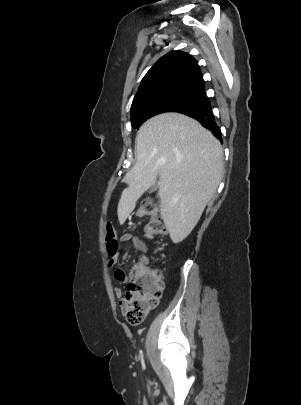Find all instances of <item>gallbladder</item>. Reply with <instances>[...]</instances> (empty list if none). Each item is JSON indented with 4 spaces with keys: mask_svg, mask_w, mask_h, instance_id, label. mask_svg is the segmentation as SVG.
Returning a JSON list of instances; mask_svg holds the SVG:
<instances>
[{
    "mask_svg": "<svg viewBox=\"0 0 301 405\" xmlns=\"http://www.w3.org/2000/svg\"><path fill=\"white\" fill-rule=\"evenodd\" d=\"M158 189V184H154L151 188H150V192H154L155 190Z\"/></svg>",
    "mask_w": 301,
    "mask_h": 405,
    "instance_id": "1",
    "label": "gallbladder"
}]
</instances>
